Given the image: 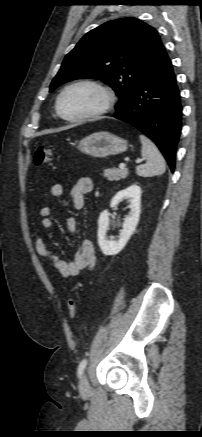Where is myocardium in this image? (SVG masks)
<instances>
[{"label":"myocardium","mask_w":202,"mask_h":437,"mask_svg":"<svg viewBox=\"0 0 202 437\" xmlns=\"http://www.w3.org/2000/svg\"><path fill=\"white\" fill-rule=\"evenodd\" d=\"M79 86H90L95 88L96 90H98L102 97H103V102L101 104L100 107H98L97 109L79 115V116H75V117H69L66 116L62 110H61V100L63 98V96L72 88L75 87H79ZM116 101V97L114 92L108 88L107 86L103 85L100 82L94 81V80H90V79H83V80H78L75 81L69 85H67L58 95L57 99H56V104H55V108H56V112L57 114L64 120L68 121V122H84V121H89V120H94V119H98L100 117H102L103 115H105L106 113H108L112 107L114 106Z\"/></svg>","instance_id":"1"}]
</instances>
